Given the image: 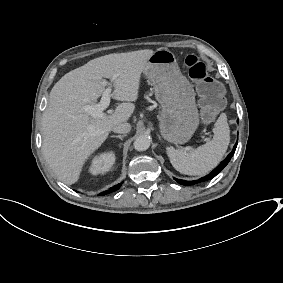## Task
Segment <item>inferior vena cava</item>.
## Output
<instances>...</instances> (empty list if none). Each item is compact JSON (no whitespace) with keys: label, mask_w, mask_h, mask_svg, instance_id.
I'll use <instances>...</instances> for the list:
<instances>
[{"label":"inferior vena cava","mask_w":283,"mask_h":283,"mask_svg":"<svg viewBox=\"0 0 283 283\" xmlns=\"http://www.w3.org/2000/svg\"><path fill=\"white\" fill-rule=\"evenodd\" d=\"M111 130L113 132H116V133H128L130 130H131V126L129 123H120L114 127L111 128Z\"/></svg>","instance_id":"inferior-vena-cava-1"}]
</instances>
